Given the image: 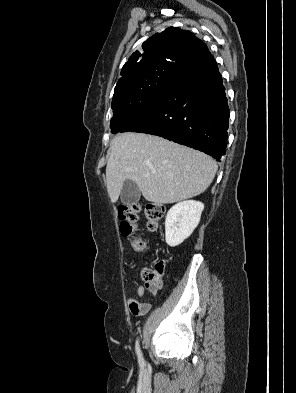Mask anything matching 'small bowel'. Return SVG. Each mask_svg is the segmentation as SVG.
Wrapping results in <instances>:
<instances>
[{"mask_svg": "<svg viewBox=\"0 0 296 393\" xmlns=\"http://www.w3.org/2000/svg\"><path fill=\"white\" fill-rule=\"evenodd\" d=\"M160 290V286L157 289L151 290L152 293L156 294ZM146 289L144 286H139L137 289V295L142 298L145 295ZM152 307L151 302H143L135 298L128 299V308L131 314L135 316H141L147 314Z\"/></svg>", "mask_w": 296, "mask_h": 393, "instance_id": "obj_1", "label": "small bowel"}]
</instances>
